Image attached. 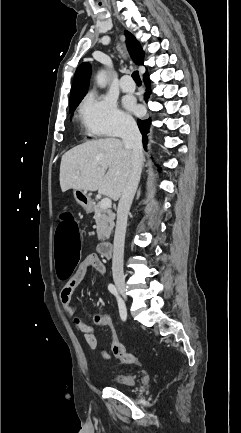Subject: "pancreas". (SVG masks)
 I'll return each mask as SVG.
<instances>
[{
    "instance_id": "obj_1",
    "label": "pancreas",
    "mask_w": 241,
    "mask_h": 433,
    "mask_svg": "<svg viewBox=\"0 0 241 433\" xmlns=\"http://www.w3.org/2000/svg\"><path fill=\"white\" fill-rule=\"evenodd\" d=\"M92 210L94 211L93 218L97 225L98 240L104 241L109 238L114 228L115 214L109 208H101L100 204L93 205Z\"/></svg>"
}]
</instances>
